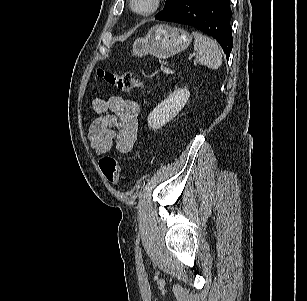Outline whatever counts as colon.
Segmentation results:
<instances>
[{
  "instance_id": "colon-1",
  "label": "colon",
  "mask_w": 307,
  "mask_h": 301,
  "mask_svg": "<svg viewBox=\"0 0 307 301\" xmlns=\"http://www.w3.org/2000/svg\"><path fill=\"white\" fill-rule=\"evenodd\" d=\"M98 76L108 85L122 91H130L133 89H143L144 83L137 79L131 72L116 73L106 71L102 68L97 71ZM99 167L105 177L111 183H117L120 177V163L112 156H104L99 161Z\"/></svg>"
}]
</instances>
